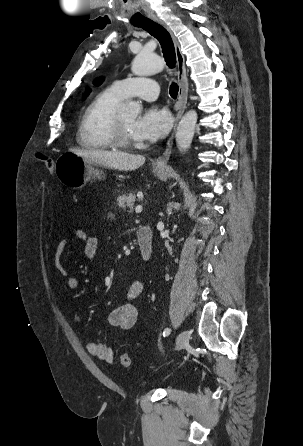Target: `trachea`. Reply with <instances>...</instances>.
I'll list each match as a JSON object with an SVG mask.
<instances>
[{
	"label": "trachea",
	"instance_id": "trachea-1",
	"mask_svg": "<svg viewBox=\"0 0 303 446\" xmlns=\"http://www.w3.org/2000/svg\"><path fill=\"white\" fill-rule=\"evenodd\" d=\"M135 26L141 27L142 29L150 33L152 36H154L160 42L162 52L168 67L174 68L176 64V56H175L174 44L169 32L164 27H162L161 25L157 24L152 20L144 21ZM178 91H179L178 85L175 82H173L170 85V91H169L170 96L173 99H176Z\"/></svg>",
	"mask_w": 303,
	"mask_h": 446
}]
</instances>
